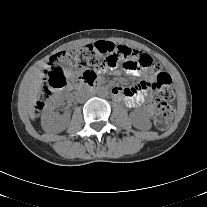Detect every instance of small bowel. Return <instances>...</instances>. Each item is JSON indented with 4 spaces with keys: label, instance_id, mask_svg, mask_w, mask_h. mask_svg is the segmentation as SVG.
Instances as JSON below:
<instances>
[{
    "label": "small bowel",
    "instance_id": "small-bowel-1",
    "mask_svg": "<svg viewBox=\"0 0 207 207\" xmlns=\"http://www.w3.org/2000/svg\"><path fill=\"white\" fill-rule=\"evenodd\" d=\"M113 74H118L117 70L110 69ZM130 75L139 76L144 74L140 68L129 67L125 68ZM112 95L116 100L123 101L130 108H137L143 103H147L146 112L149 115L153 113L152 97L150 95V83L141 81L137 86L131 88L115 87L112 90Z\"/></svg>",
    "mask_w": 207,
    "mask_h": 207
}]
</instances>
